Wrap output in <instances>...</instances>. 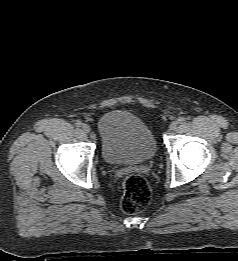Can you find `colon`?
Masks as SVG:
<instances>
[{
	"instance_id": "obj_1",
	"label": "colon",
	"mask_w": 238,
	"mask_h": 261,
	"mask_svg": "<svg viewBox=\"0 0 238 261\" xmlns=\"http://www.w3.org/2000/svg\"><path fill=\"white\" fill-rule=\"evenodd\" d=\"M124 194L121 209L126 214L141 212L149 203L151 189L147 180L139 174L128 175L123 182Z\"/></svg>"
}]
</instances>
